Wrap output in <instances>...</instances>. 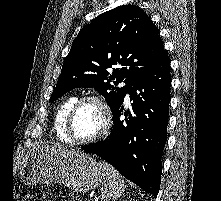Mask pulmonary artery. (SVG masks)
Returning <instances> with one entry per match:
<instances>
[{
    "label": "pulmonary artery",
    "mask_w": 221,
    "mask_h": 201,
    "mask_svg": "<svg viewBox=\"0 0 221 201\" xmlns=\"http://www.w3.org/2000/svg\"><path fill=\"white\" fill-rule=\"evenodd\" d=\"M121 85L124 86L125 83H122ZM126 98L129 99V95L128 94L126 95Z\"/></svg>",
    "instance_id": "1"
}]
</instances>
